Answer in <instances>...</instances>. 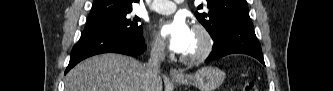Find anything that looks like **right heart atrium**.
I'll use <instances>...</instances> for the list:
<instances>
[{
    "instance_id": "d8ad5b80",
    "label": "right heart atrium",
    "mask_w": 333,
    "mask_h": 91,
    "mask_svg": "<svg viewBox=\"0 0 333 91\" xmlns=\"http://www.w3.org/2000/svg\"><path fill=\"white\" fill-rule=\"evenodd\" d=\"M151 55L155 58H162L164 56V47L157 40H153L150 44Z\"/></svg>"
}]
</instances>
